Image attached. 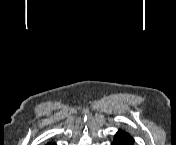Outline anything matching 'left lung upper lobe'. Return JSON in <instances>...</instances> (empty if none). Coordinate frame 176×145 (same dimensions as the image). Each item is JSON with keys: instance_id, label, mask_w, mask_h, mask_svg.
Listing matches in <instances>:
<instances>
[{"instance_id": "1", "label": "left lung upper lobe", "mask_w": 176, "mask_h": 145, "mask_svg": "<svg viewBox=\"0 0 176 145\" xmlns=\"http://www.w3.org/2000/svg\"><path fill=\"white\" fill-rule=\"evenodd\" d=\"M119 132L124 134L129 140H131L133 142V138L128 133H126L125 131H122V130H119Z\"/></svg>"}]
</instances>
